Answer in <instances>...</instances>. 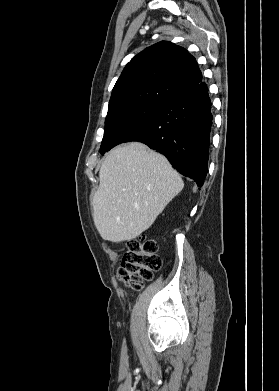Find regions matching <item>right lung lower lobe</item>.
<instances>
[{"instance_id": "98d812e1", "label": "right lung lower lobe", "mask_w": 279, "mask_h": 391, "mask_svg": "<svg viewBox=\"0 0 279 391\" xmlns=\"http://www.w3.org/2000/svg\"><path fill=\"white\" fill-rule=\"evenodd\" d=\"M212 121L208 88L200 82L163 104L153 121L125 142L140 141L159 151L201 187L207 174Z\"/></svg>"}]
</instances>
